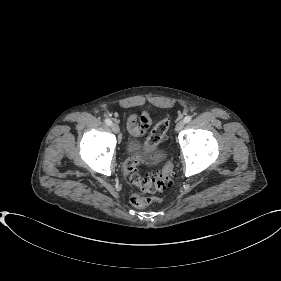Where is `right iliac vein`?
I'll use <instances>...</instances> for the list:
<instances>
[{
  "label": "right iliac vein",
  "instance_id": "1",
  "mask_svg": "<svg viewBox=\"0 0 281 281\" xmlns=\"http://www.w3.org/2000/svg\"><path fill=\"white\" fill-rule=\"evenodd\" d=\"M111 129L114 133H119L120 131L119 125L117 123L111 124Z\"/></svg>",
  "mask_w": 281,
  "mask_h": 281
}]
</instances>
